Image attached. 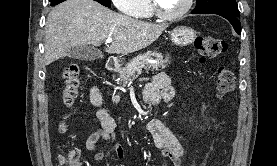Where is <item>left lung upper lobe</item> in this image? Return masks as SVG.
<instances>
[{
  "instance_id": "left-lung-upper-lobe-1",
  "label": "left lung upper lobe",
  "mask_w": 277,
  "mask_h": 166,
  "mask_svg": "<svg viewBox=\"0 0 277 166\" xmlns=\"http://www.w3.org/2000/svg\"><path fill=\"white\" fill-rule=\"evenodd\" d=\"M196 13L239 16L238 6L235 0H197V6L192 14Z\"/></svg>"
}]
</instances>
